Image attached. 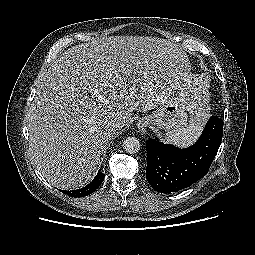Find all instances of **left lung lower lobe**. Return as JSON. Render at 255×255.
I'll return each mask as SVG.
<instances>
[{"label":"left lung lower lobe","mask_w":255,"mask_h":255,"mask_svg":"<svg viewBox=\"0 0 255 255\" xmlns=\"http://www.w3.org/2000/svg\"><path fill=\"white\" fill-rule=\"evenodd\" d=\"M223 134V121L211 116L200 138L180 149L157 138L147 141L146 179L162 193L177 192L204 177L217 154Z\"/></svg>","instance_id":"1"}]
</instances>
